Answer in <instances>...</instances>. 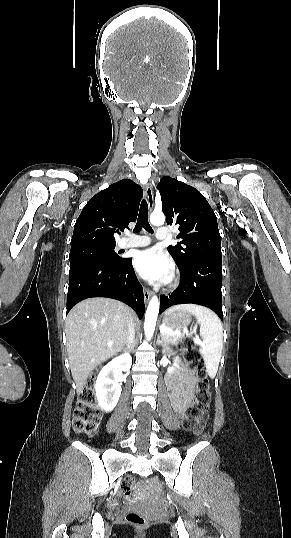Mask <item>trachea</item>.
I'll return each mask as SVG.
<instances>
[{
    "label": "trachea",
    "instance_id": "3493384b",
    "mask_svg": "<svg viewBox=\"0 0 291 538\" xmlns=\"http://www.w3.org/2000/svg\"><path fill=\"white\" fill-rule=\"evenodd\" d=\"M144 228L149 233H152L153 230L148 222V204L145 200L141 202L140 209H139V215L138 220L136 223V226L134 228V232L140 231L141 228Z\"/></svg>",
    "mask_w": 291,
    "mask_h": 538
}]
</instances>
